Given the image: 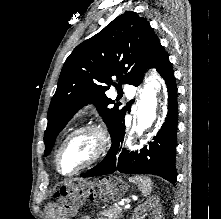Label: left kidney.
<instances>
[{"label": "left kidney", "instance_id": "5707ae66", "mask_svg": "<svg viewBox=\"0 0 221 219\" xmlns=\"http://www.w3.org/2000/svg\"><path fill=\"white\" fill-rule=\"evenodd\" d=\"M147 212H152L153 219H162L161 205L158 197H150L135 209L131 219H143Z\"/></svg>", "mask_w": 221, "mask_h": 219}]
</instances>
